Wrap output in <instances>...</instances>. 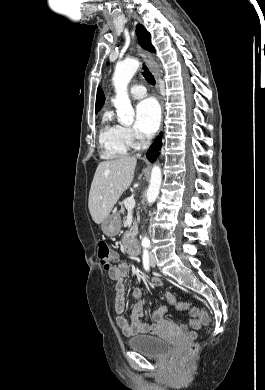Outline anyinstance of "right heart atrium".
Instances as JSON below:
<instances>
[{"label":"right heart atrium","mask_w":265,"mask_h":390,"mask_svg":"<svg viewBox=\"0 0 265 390\" xmlns=\"http://www.w3.org/2000/svg\"><path fill=\"white\" fill-rule=\"evenodd\" d=\"M125 136L131 147H138L145 142V137L132 127H124Z\"/></svg>","instance_id":"right-heart-atrium-1"}]
</instances>
